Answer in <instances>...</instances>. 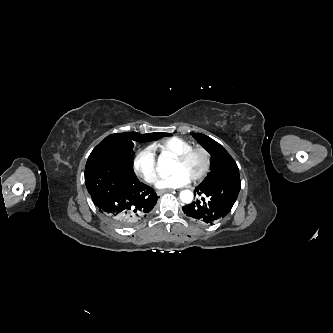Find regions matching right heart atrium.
<instances>
[{
  "label": "right heart atrium",
  "mask_w": 333,
  "mask_h": 333,
  "mask_svg": "<svg viewBox=\"0 0 333 333\" xmlns=\"http://www.w3.org/2000/svg\"><path fill=\"white\" fill-rule=\"evenodd\" d=\"M133 168L145 182L153 184L157 181L155 153L151 147L142 148L135 154Z\"/></svg>",
  "instance_id": "d8ad5b80"
}]
</instances>
